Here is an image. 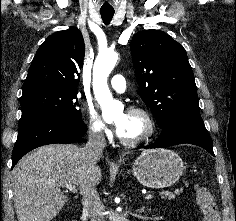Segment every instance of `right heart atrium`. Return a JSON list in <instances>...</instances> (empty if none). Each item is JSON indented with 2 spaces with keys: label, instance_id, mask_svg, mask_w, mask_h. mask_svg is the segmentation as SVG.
<instances>
[{
  "label": "right heart atrium",
  "instance_id": "1",
  "mask_svg": "<svg viewBox=\"0 0 236 221\" xmlns=\"http://www.w3.org/2000/svg\"><path fill=\"white\" fill-rule=\"evenodd\" d=\"M86 125L89 135L97 141L112 137V131L93 106L86 109Z\"/></svg>",
  "mask_w": 236,
  "mask_h": 221
}]
</instances>
